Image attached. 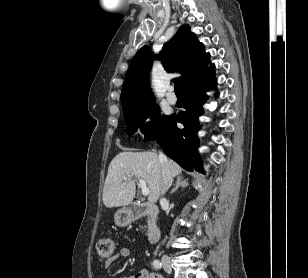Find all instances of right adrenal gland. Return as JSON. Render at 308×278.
Masks as SVG:
<instances>
[{"mask_svg": "<svg viewBox=\"0 0 308 278\" xmlns=\"http://www.w3.org/2000/svg\"><path fill=\"white\" fill-rule=\"evenodd\" d=\"M188 179H184L183 176H177L175 187L172 189L170 194H173L179 187H186L188 186Z\"/></svg>", "mask_w": 308, "mask_h": 278, "instance_id": "1", "label": "right adrenal gland"}]
</instances>
